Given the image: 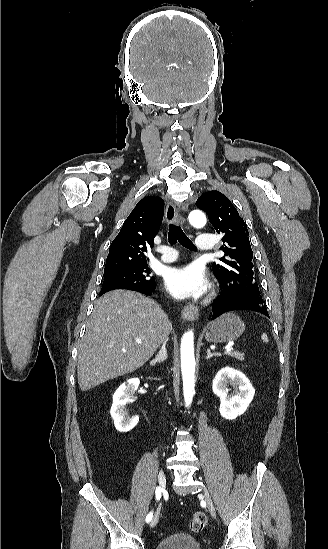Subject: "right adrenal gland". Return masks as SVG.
Listing matches in <instances>:
<instances>
[{
  "label": "right adrenal gland",
  "mask_w": 328,
  "mask_h": 549,
  "mask_svg": "<svg viewBox=\"0 0 328 549\" xmlns=\"http://www.w3.org/2000/svg\"><path fill=\"white\" fill-rule=\"evenodd\" d=\"M165 345H166V341L163 345V347H161V351H159L157 357H155V359H153V363H163V361H165L167 355H166V349H165Z\"/></svg>",
  "instance_id": "1"
}]
</instances>
